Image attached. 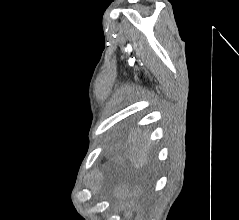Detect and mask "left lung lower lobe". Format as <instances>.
<instances>
[{
  "instance_id": "1",
  "label": "left lung lower lobe",
  "mask_w": 239,
  "mask_h": 220,
  "mask_svg": "<svg viewBox=\"0 0 239 220\" xmlns=\"http://www.w3.org/2000/svg\"><path fill=\"white\" fill-rule=\"evenodd\" d=\"M124 149L122 151L123 158H131L136 159L140 156L143 150L142 142H138L136 140H131L130 142L124 144Z\"/></svg>"
}]
</instances>
